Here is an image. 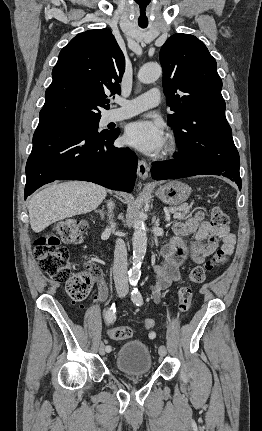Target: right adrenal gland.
I'll return each instance as SVG.
<instances>
[{
	"instance_id": "2a0ac1e0",
	"label": "right adrenal gland",
	"mask_w": 262,
	"mask_h": 431,
	"mask_svg": "<svg viewBox=\"0 0 262 431\" xmlns=\"http://www.w3.org/2000/svg\"><path fill=\"white\" fill-rule=\"evenodd\" d=\"M95 212L100 214L101 220H105V213H104L103 209L102 210H96Z\"/></svg>"
}]
</instances>
